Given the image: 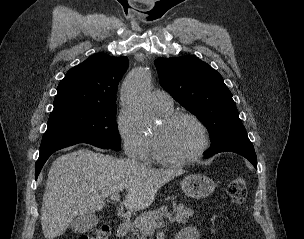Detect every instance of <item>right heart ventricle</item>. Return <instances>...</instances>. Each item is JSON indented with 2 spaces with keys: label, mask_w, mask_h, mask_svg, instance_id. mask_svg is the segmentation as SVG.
Here are the masks:
<instances>
[{
  "label": "right heart ventricle",
  "mask_w": 304,
  "mask_h": 239,
  "mask_svg": "<svg viewBox=\"0 0 304 239\" xmlns=\"http://www.w3.org/2000/svg\"><path fill=\"white\" fill-rule=\"evenodd\" d=\"M156 110L162 116L167 115V114H169V113H171L173 111L172 108H169V109L156 108Z\"/></svg>",
  "instance_id": "1"
}]
</instances>
